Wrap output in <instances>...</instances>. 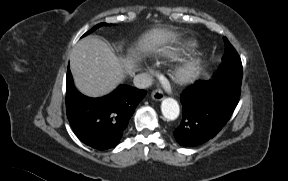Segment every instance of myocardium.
Masks as SVG:
<instances>
[{"mask_svg": "<svg viewBox=\"0 0 288 181\" xmlns=\"http://www.w3.org/2000/svg\"><path fill=\"white\" fill-rule=\"evenodd\" d=\"M201 60H192L181 67L175 76V79L179 83H189L193 81L199 74L201 68Z\"/></svg>", "mask_w": 288, "mask_h": 181, "instance_id": "1", "label": "myocardium"}]
</instances>
